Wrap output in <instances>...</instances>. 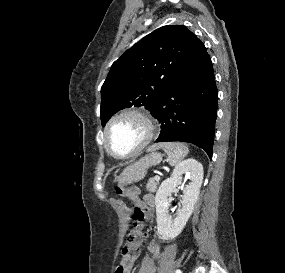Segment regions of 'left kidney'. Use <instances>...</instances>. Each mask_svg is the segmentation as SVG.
Wrapping results in <instances>:
<instances>
[{
	"mask_svg": "<svg viewBox=\"0 0 285 273\" xmlns=\"http://www.w3.org/2000/svg\"><path fill=\"white\" fill-rule=\"evenodd\" d=\"M184 174L189 176L191 182L184 189V195L180 200L182 207L177 210L176 217L173 219L168 210L171 203L170 196L181 185ZM202 180V164L189 158L179 163L174 168L171 177L162 182L155 197L157 228L161 239L171 240L182 232L194 210Z\"/></svg>",
	"mask_w": 285,
	"mask_h": 273,
	"instance_id": "obj_1",
	"label": "left kidney"
}]
</instances>
